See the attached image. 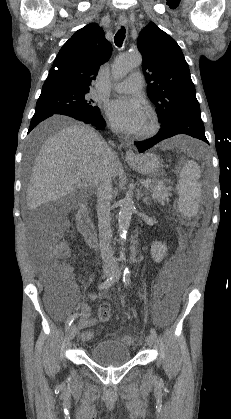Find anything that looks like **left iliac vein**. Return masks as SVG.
<instances>
[{
	"label": "left iliac vein",
	"mask_w": 231,
	"mask_h": 419,
	"mask_svg": "<svg viewBox=\"0 0 231 419\" xmlns=\"http://www.w3.org/2000/svg\"><path fill=\"white\" fill-rule=\"evenodd\" d=\"M112 271H113V275H115L116 276V279L118 280L119 279V272H118V270L117 269H114ZM146 342H147V345L149 347H152L154 345V337L151 334H149L146 337Z\"/></svg>",
	"instance_id": "1"
}]
</instances>
